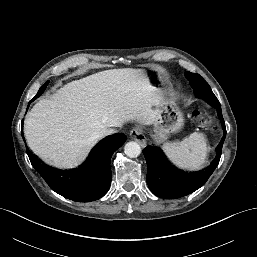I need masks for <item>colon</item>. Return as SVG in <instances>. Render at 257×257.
Returning a JSON list of instances; mask_svg holds the SVG:
<instances>
[{
  "label": "colon",
  "mask_w": 257,
  "mask_h": 257,
  "mask_svg": "<svg viewBox=\"0 0 257 257\" xmlns=\"http://www.w3.org/2000/svg\"><path fill=\"white\" fill-rule=\"evenodd\" d=\"M192 118L196 121L199 126H207L209 124V119L202 112L195 110L192 113Z\"/></svg>",
  "instance_id": "obj_1"
}]
</instances>
